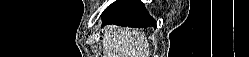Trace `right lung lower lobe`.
Instances as JSON below:
<instances>
[{
	"label": "right lung lower lobe",
	"mask_w": 249,
	"mask_h": 57,
	"mask_svg": "<svg viewBox=\"0 0 249 57\" xmlns=\"http://www.w3.org/2000/svg\"><path fill=\"white\" fill-rule=\"evenodd\" d=\"M103 26L116 24L128 27H156V21L149 16L144 4L137 0H121L110 5L102 15Z\"/></svg>",
	"instance_id": "1"
}]
</instances>
